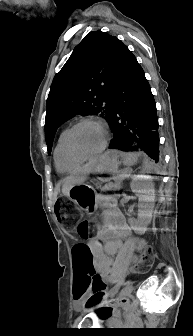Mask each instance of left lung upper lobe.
I'll list each match as a JSON object with an SVG mask.
<instances>
[{
	"instance_id": "left-lung-upper-lobe-1",
	"label": "left lung upper lobe",
	"mask_w": 193,
	"mask_h": 336,
	"mask_svg": "<svg viewBox=\"0 0 193 336\" xmlns=\"http://www.w3.org/2000/svg\"><path fill=\"white\" fill-rule=\"evenodd\" d=\"M127 47L115 36L92 31L53 79L46 103L45 134L51 153L58 127L75 115L109 120L111 95Z\"/></svg>"
}]
</instances>
